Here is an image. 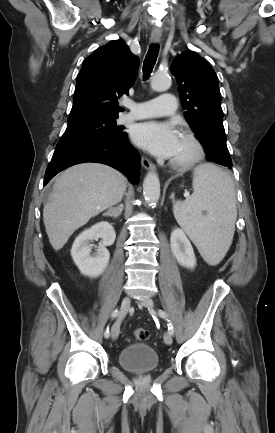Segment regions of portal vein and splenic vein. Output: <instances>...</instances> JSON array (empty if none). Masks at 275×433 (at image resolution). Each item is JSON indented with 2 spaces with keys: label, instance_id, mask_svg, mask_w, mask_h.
<instances>
[{
  "label": "portal vein and splenic vein",
  "instance_id": "18ae733b",
  "mask_svg": "<svg viewBox=\"0 0 275 433\" xmlns=\"http://www.w3.org/2000/svg\"><path fill=\"white\" fill-rule=\"evenodd\" d=\"M184 196H185V197H188V196H189V192L186 191V192L184 193Z\"/></svg>",
  "mask_w": 275,
  "mask_h": 433
}]
</instances>
